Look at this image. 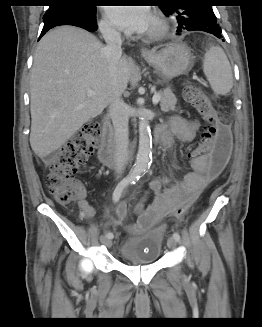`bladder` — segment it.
<instances>
[{
	"label": "bladder",
	"mask_w": 262,
	"mask_h": 327,
	"mask_svg": "<svg viewBox=\"0 0 262 327\" xmlns=\"http://www.w3.org/2000/svg\"><path fill=\"white\" fill-rule=\"evenodd\" d=\"M164 242V233L149 230L144 233H131L120 246V259L127 263H156L160 260Z\"/></svg>",
	"instance_id": "bladder-1"
}]
</instances>
